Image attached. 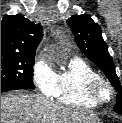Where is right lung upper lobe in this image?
I'll return each instance as SVG.
<instances>
[{
	"mask_svg": "<svg viewBox=\"0 0 122 123\" xmlns=\"http://www.w3.org/2000/svg\"><path fill=\"white\" fill-rule=\"evenodd\" d=\"M42 36L40 24L22 15L5 16L1 21V54L35 55Z\"/></svg>",
	"mask_w": 122,
	"mask_h": 123,
	"instance_id": "obj_1",
	"label": "right lung upper lobe"
}]
</instances>
